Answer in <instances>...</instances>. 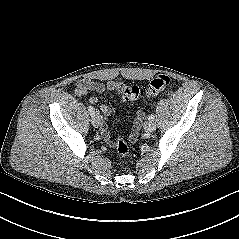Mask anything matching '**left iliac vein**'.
<instances>
[{"label": "left iliac vein", "mask_w": 239, "mask_h": 239, "mask_svg": "<svg viewBox=\"0 0 239 239\" xmlns=\"http://www.w3.org/2000/svg\"><path fill=\"white\" fill-rule=\"evenodd\" d=\"M156 128V125L154 123V121H151V120H147L145 123H144V129L146 132L148 133H151L155 130Z\"/></svg>", "instance_id": "4c4485c4"}]
</instances>
